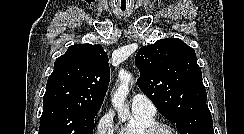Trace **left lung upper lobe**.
Instances as JSON below:
<instances>
[{
  "mask_svg": "<svg viewBox=\"0 0 244 134\" xmlns=\"http://www.w3.org/2000/svg\"><path fill=\"white\" fill-rule=\"evenodd\" d=\"M139 88L180 134H214L195 50L178 38L143 46L135 57Z\"/></svg>",
  "mask_w": 244,
  "mask_h": 134,
  "instance_id": "obj_1",
  "label": "left lung upper lobe"
}]
</instances>
